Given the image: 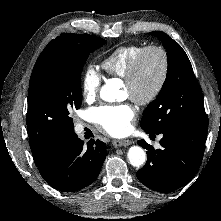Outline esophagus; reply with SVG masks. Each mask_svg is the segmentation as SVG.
<instances>
[{"mask_svg":"<svg viewBox=\"0 0 221 221\" xmlns=\"http://www.w3.org/2000/svg\"><path fill=\"white\" fill-rule=\"evenodd\" d=\"M113 145L115 147H121V146H129L132 142L130 140H113Z\"/></svg>","mask_w":221,"mask_h":221,"instance_id":"1","label":"esophagus"}]
</instances>
